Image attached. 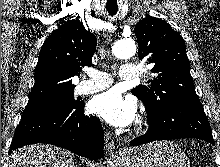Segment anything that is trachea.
I'll return each instance as SVG.
<instances>
[{"label": "trachea", "mask_w": 220, "mask_h": 167, "mask_svg": "<svg viewBox=\"0 0 220 167\" xmlns=\"http://www.w3.org/2000/svg\"><path fill=\"white\" fill-rule=\"evenodd\" d=\"M106 10L108 11V13L110 15H115L118 11V7L117 6H106Z\"/></svg>", "instance_id": "3493384b"}]
</instances>
